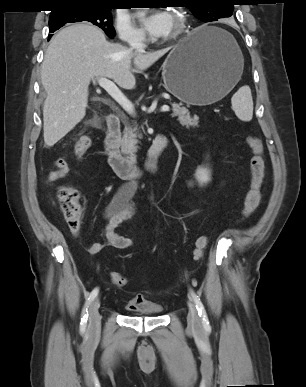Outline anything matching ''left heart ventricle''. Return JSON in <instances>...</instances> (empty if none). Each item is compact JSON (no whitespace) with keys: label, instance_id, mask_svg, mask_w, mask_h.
I'll return each instance as SVG.
<instances>
[{"label":"left heart ventricle","instance_id":"left-heart-ventricle-1","mask_svg":"<svg viewBox=\"0 0 306 387\" xmlns=\"http://www.w3.org/2000/svg\"><path fill=\"white\" fill-rule=\"evenodd\" d=\"M174 29H175V19L172 16V31H171V33L173 32Z\"/></svg>","mask_w":306,"mask_h":387}]
</instances>
